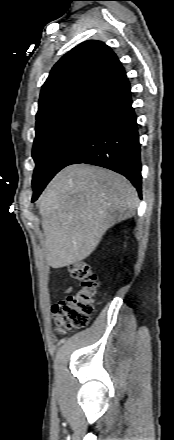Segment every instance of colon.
Returning <instances> with one entry per match:
<instances>
[{"label": "colon", "mask_w": 174, "mask_h": 440, "mask_svg": "<svg viewBox=\"0 0 174 440\" xmlns=\"http://www.w3.org/2000/svg\"><path fill=\"white\" fill-rule=\"evenodd\" d=\"M68 270L80 282V286L52 308L60 334L66 330L84 328L88 324L100 287L97 275L89 264L73 263L69 265Z\"/></svg>", "instance_id": "colon-1"}]
</instances>
